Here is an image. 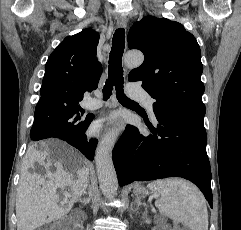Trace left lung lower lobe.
Instances as JSON below:
<instances>
[{
  "instance_id": "1",
  "label": "left lung lower lobe",
  "mask_w": 241,
  "mask_h": 230,
  "mask_svg": "<svg viewBox=\"0 0 241 230\" xmlns=\"http://www.w3.org/2000/svg\"><path fill=\"white\" fill-rule=\"evenodd\" d=\"M156 128L145 121L150 135L128 125L112 156L120 186L165 177L190 180L212 207L211 168L206 153L203 118L166 107H153Z\"/></svg>"
}]
</instances>
